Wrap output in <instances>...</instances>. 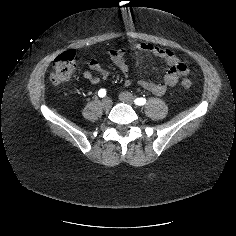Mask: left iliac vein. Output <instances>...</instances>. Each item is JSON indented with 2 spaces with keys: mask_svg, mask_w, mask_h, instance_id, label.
Masks as SVG:
<instances>
[{
  "mask_svg": "<svg viewBox=\"0 0 236 236\" xmlns=\"http://www.w3.org/2000/svg\"><path fill=\"white\" fill-rule=\"evenodd\" d=\"M119 99L122 101V102H125V103H128L130 105L134 104V97L131 93L129 92H122L120 93L119 95Z\"/></svg>",
  "mask_w": 236,
  "mask_h": 236,
  "instance_id": "left-iliac-vein-1",
  "label": "left iliac vein"
}]
</instances>
